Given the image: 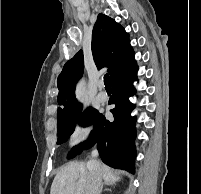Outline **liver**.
<instances>
[{"instance_id":"6515ba94","label":"liver","mask_w":201,"mask_h":194,"mask_svg":"<svg viewBox=\"0 0 201 194\" xmlns=\"http://www.w3.org/2000/svg\"><path fill=\"white\" fill-rule=\"evenodd\" d=\"M100 168L105 184L110 185L119 180L110 167L100 164ZM88 180L89 169L86 163L77 161L67 163L56 174L50 194H86Z\"/></svg>"}]
</instances>
